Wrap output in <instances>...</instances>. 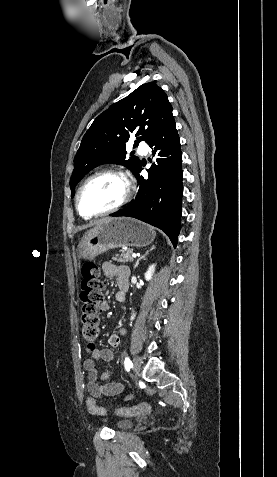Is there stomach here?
Returning <instances> with one entry per match:
<instances>
[{
  "label": "stomach",
  "mask_w": 277,
  "mask_h": 477,
  "mask_svg": "<svg viewBox=\"0 0 277 477\" xmlns=\"http://www.w3.org/2000/svg\"><path fill=\"white\" fill-rule=\"evenodd\" d=\"M153 228L133 218H106L89 230L78 245L79 255L91 259L110 249L150 245L155 239Z\"/></svg>",
  "instance_id": "1"
}]
</instances>
